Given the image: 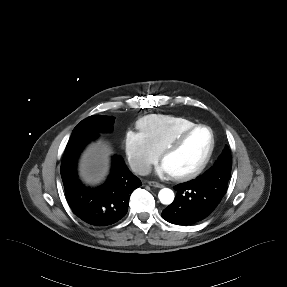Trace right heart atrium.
<instances>
[{"instance_id":"d8ad5b80","label":"right heart atrium","mask_w":287,"mask_h":287,"mask_svg":"<svg viewBox=\"0 0 287 287\" xmlns=\"http://www.w3.org/2000/svg\"><path fill=\"white\" fill-rule=\"evenodd\" d=\"M124 148L130 165L139 174H146L159 159V152L141 132L128 131Z\"/></svg>"}]
</instances>
